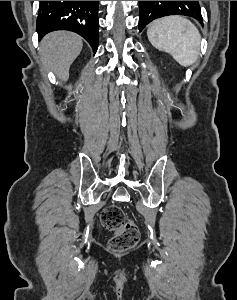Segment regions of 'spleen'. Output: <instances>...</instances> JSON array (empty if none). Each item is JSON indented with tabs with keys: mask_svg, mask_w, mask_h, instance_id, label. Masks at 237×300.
<instances>
[{
	"mask_svg": "<svg viewBox=\"0 0 237 300\" xmlns=\"http://www.w3.org/2000/svg\"><path fill=\"white\" fill-rule=\"evenodd\" d=\"M147 37L155 49L169 53L182 67H190L198 59L201 35L185 17L156 19L150 23Z\"/></svg>",
	"mask_w": 237,
	"mask_h": 300,
	"instance_id": "1",
	"label": "spleen"
}]
</instances>
